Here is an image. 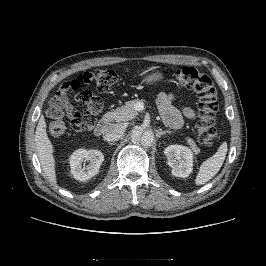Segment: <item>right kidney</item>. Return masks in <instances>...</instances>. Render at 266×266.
Masks as SVG:
<instances>
[{"mask_svg":"<svg viewBox=\"0 0 266 266\" xmlns=\"http://www.w3.org/2000/svg\"><path fill=\"white\" fill-rule=\"evenodd\" d=\"M86 161L88 165L83 166ZM103 161L104 155L98 150H76L69 158L71 174L76 180H89L99 172Z\"/></svg>","mask_w":266,"mask_h":266,"instance_id":"right-kidney-1","label":"right kidney"}]
</instances>
